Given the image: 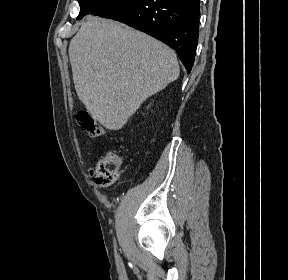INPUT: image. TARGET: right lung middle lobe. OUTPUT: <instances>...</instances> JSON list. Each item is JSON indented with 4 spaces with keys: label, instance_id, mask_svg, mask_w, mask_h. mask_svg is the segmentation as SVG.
Segmentation results:
<instances>
[{
    "label": "right lung middle lobe",
    "instance_id": "right-lung-middle-lobe-1",
    "mask_svg": "<svg viewBox=\"0 0 288 280\" xmlns=\"http://www.w3.org/2000/svg\"><path fill=\"white\" fill-rule=\"evenodd\" d=\"M109 1L110 0H78L80 5V13L77 19H81L85 15L91 14L93 11Z\"/></svg>",
    "mask_w": 288,
    "mask_h": 280
}]
</instances>
